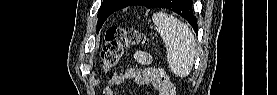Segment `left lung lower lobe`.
Masks as SVG:
<instances>
[{
    "label": "left lung lower lobe",
    "instance_id": "left-lung-lower-lobe-1",
    "mask_svg": "<svg viewBox=\"0 0 277 95\" xmlns=\"http://www.w3.org/2000/svg\"><path fill=\"white\" fill-rule=\"evenodd\" d=\"M177 0H163L160 4V8H166L173 10L182 17H184L195 31H197V20L192 12V0H181V2L176 5ZM149 0H133L128 6L141 5L148 7Z\"/></svg>",
    "mask_w": 277,
    "mask_h": 95
}]
</instances>
